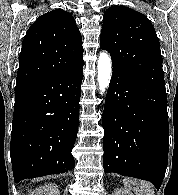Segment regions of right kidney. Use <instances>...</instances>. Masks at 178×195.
<instances>
[{
  "instance_id": "ca27d5eb",
  "label": "right kidney",
  "mask_w": 178,
  "mask_h": 195,
  "mask_svg": "<svg viewBox=\"0 0 178 195\" xmlns=\"http://www.w3.org/2000/svg\"><path fill=\"white\" fill-rule=\"evenodd\" d=\"M30 195H59V189L55 184H44L32 191Z\"/></svg>"
}]
</instances>
